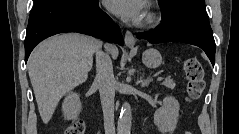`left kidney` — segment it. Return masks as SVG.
<instances>
[{"label": "left kidney", "mask_w": 239, "mask_h": 134, "mask_svg": "<svg viewBox=\"0 0 239 134\" xmlns=\"http://www.w3.org/2000/svg\"><path fill=\"white\" fill-rule=\"evenodd\" d=\"M180 105L178 101L167 96L163 99L162 106L154 113V124L162 134H172L176 129Z\"/></svg>", "instance_id": "obj_1"}]
</instances>
